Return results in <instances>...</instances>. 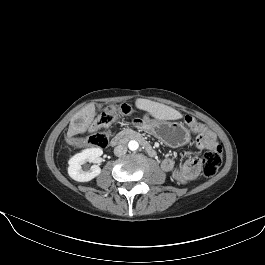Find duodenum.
Segmentation results:
<instances>
[{
	"instance_id": "obj_1",
	"label": "duodenum",
	"mask_w": 265,
	"mask_h": 265,
	"mask_svg": "<svg viewBox=\"0 0 265 265\" xmlns=\"http://www.w3.org/2000/svg\"><path fill=\"white\" fill-rule=\"evenodd\" d=\"M129 139L137 140L141 143V145L144 147L145 151L148 153L149 156L155 157L156 151L155 149L143 138V136L135 131L131 130H125L117 134L112 140L111 145L117 146Z\"/></svg>"
}]
</instances>
